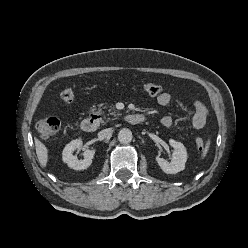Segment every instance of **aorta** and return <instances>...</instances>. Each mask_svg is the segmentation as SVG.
<instances>
[{"label":"aorta","instance_id":"1","mask_svg":"<svg viewBox=\"0 0 248 248\" xmlns=\"http://www.w3.org/2000/svg\"><path fill=\"white\" fill-rule=\"evenodd\" d=\"M132 132L128 128H123L118 133V140L122 144H128L132 140Z\"/></svg>","mask_w":248,"mask_h":248}]
</instances>
